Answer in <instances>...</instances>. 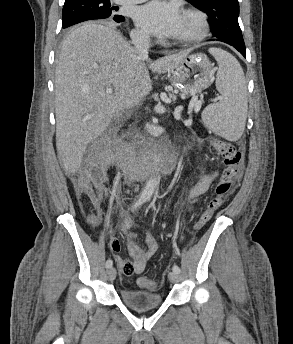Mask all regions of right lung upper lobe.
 <instances>
[{
    "instance_id": "cb5924a9",
    "label": "right lung upper lobe",
    "mask_w": 293,
    "mask_h": 344,
    "mask_svg": "<svg viewBox=\"0 0 293 344\" xmlns=\"http://www.w3.org/2000/svg\"><path fill=\"white\" fill-rule=\"evenodd\" d=\"M75 1H79V0H65V3H72V2H75Z\"/></svg>"
}]
</instances>
